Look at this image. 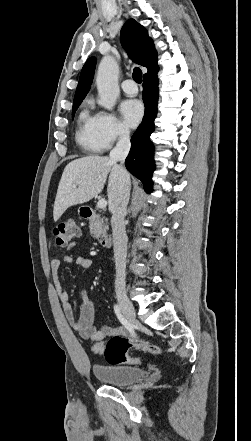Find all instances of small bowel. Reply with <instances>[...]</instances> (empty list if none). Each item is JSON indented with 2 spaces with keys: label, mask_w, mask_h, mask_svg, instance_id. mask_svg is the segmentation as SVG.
Returning <instances> with one entry per match:
<instances>
[{
  "label": "small bowel",
  "mask_w": 251,
  "mask_h": 441,
  "mask_svg": "<svg viewBox=\"0 0 251 441\" xmlns=\"http://www.w3.org/2000/svg\"><path fill=\"white\" fill-rule=\"evenodd\" d=\"M72 262L85 270L90 269L93 265L91 259L84 256H78L75 258L72 254L69 253L65 254L61 259L55 258L52 259L50 262L53 285L57 296L62 304L64 316L71 328L77 331L82 338L93 341L95 343H99L100 341L108 337L127 336V331L122 326H103L101 328H97L94 325V303L91 301L84 290L80 291L79 293V297L81 299L80 312L79 317L77 319L75 318L72 305L69 301V294L63 288L59 279V270L62 263Z\"/></svg>",
  "instance_id": "c3829d8e"
}]
</instances>
